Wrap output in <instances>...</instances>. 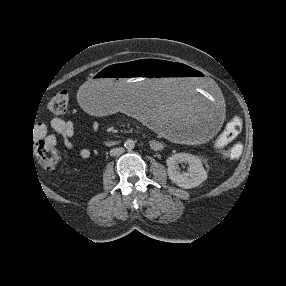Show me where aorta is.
Wrapping results in <instances>:
<instances>
[{
    "mask_svg": "<svg viewBox=\"0 0 286 286\" xmlns=\"http://www.w3.org/2000/svg\"><path fill=\"white\" fill-rule=\"evenodd\" d=\"M124 146L127 150H132L135 147V142L132 139H127L124 142Z\"/></svg>",
    "mask_w": 286,
    "mask_h": 286,
    "instance_id": "762f6f07",
    "label": "aorta"
}]
</instances>
